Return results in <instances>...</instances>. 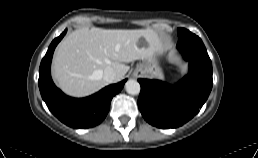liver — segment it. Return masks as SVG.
Wrapping results in <instances>:
<instances>
[{"instance_id": "obj_1", "label": "liver", "mask_w": 258, "mask_h": 158, "mask_svg": "<svg viewBox=\"0 0 258 158\" xmlns=\"http://www.w3.org/2000/svg\"><path fill=\"white\" fill-rule=\"evenodd\" d=\"M163 50L159 35L152 29L81 28L67 35L57 46L53 77L67 94L83 97L97 92L108 82L103 71L111 67L115 81L123 79L135 60H153Z\"/></svg>"}]
</instances>
